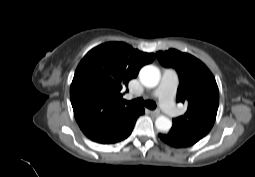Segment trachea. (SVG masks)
<instances>
[{"mask_svg":"<svg viewBox=\"0 0 255 177\" xmlns=\"http://www.w3.org/2000/svg\"><path fill=\"white\" fill-rule=\"evenodd\" d=\"M123 102H124V104L134 106V107H139V106L145 105L147 108L152 109V110L156 108V104L153 101H150V100L144 101L142 98H137L132 101L124 100Z\"/></svg>","mask_w":255,"mask_h":177,"instance_id":"trachea-1","label":"trachea"}]
</instances>
